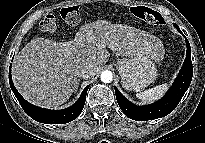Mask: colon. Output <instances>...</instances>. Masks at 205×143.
I'll use <instances>...</instances> for the list:
<instances>
[{
  "label": "colon",
  "mask_w": 205,
  "mask_h": 143,
  "mask_svg": "<svg viewBox=\"0 0 205 143\" xmlns=\"http://www.w3.org/2000/svg\"><path fill=\"white\" fill-rule=\"evenodd\" d=\"M131 14L139 19H142L153 25H164L165 21L162 15L155 10L145 6H134L130 9ZM61 18L69 25L75 26L81 20L80 9L78 6L64 7L60 11ZM58 24L56 17L52 14H47L40 22V28L46 33H54L57 30Z\"/></svg>",
  "instance_id": "obj_1"
}]
</instances>
